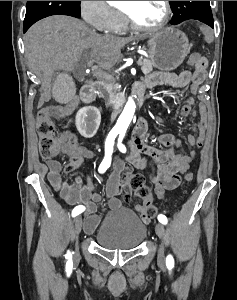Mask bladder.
<instances>
[{
  "mask_svg": "<svg viewBox=\"0 0 237 300\" xmlns=\"http://www.w3.org/2000/svg\"><path fill=\"white\" fill-rule=\"evenodd\" d=\"M147 227L132 211L123 210L106 218L94 233L96 243L109 250H131L142 244Z\"/></svg>",
  "mask_w": 237,
  "mask_h": 300,
  "instance_id": "1",
  "label": "bladder"
}]
</instances>
